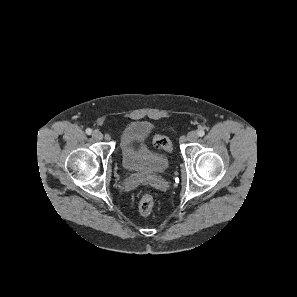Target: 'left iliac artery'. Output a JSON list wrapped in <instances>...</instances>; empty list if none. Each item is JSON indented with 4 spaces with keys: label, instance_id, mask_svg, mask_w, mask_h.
I'll use <instances>...</instances> for the list:
<instances>
[{
    "label": "left iliac artery",
    "instance_id": "44dca946",
    "mask_svg": "<svg viewBox=\"0 0 297 297\" xmlns=\"http://www.w3.org/2000/svg\"><path fill=\"white\" fill-rule=\"evenodd\" d=\"M205 135V131L203 130V129H200L199 131H198V136L199 137H202V136H204Z\"/></svg>",
    "mask_w": 297,
    "mask_h": 297
}]
</instances>
